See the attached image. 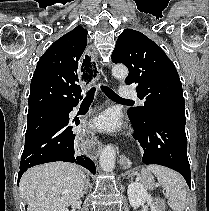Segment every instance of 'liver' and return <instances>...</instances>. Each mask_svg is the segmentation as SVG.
Returning <instances> with one entry per match:
<instances>
[{
  "mask_svg": "<svg viewBox=\"0 0 209 211\" xmlns=\"http://www.w3.org/2000/svg\"><path fill=\"white\" fill-rule=\"evenodd\" d=\"M86 176L68 162H51L28 169L20 180L27 211H60L78 202Z\"/></svg>",
  "mask_w": 209,
  "mask_h": 211,
  "instance_id": "obj_1",
  "label": "liver"
}]
</instances>
